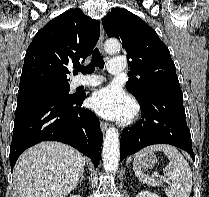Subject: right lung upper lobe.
I'll use <instances>...</instances> for the list:
<instances>
[{
    "label": "right lung upper lobe",
    "instance_id": "obj_1",
    "mask_svg": "<svg viewBox=\"0 0 209 197\" xmlns=\"http://www.w3.org/2000/svg\"><path fill=\"white\" fill-rule=\"evenodd\" d=\"M100 35V22L72 9L37 32L24 59L19 88L41 83H66L67 66L91 54Z\"/></svg>",
    "mask_w": 209,
    "mask_h": 197
}]
</instances>
